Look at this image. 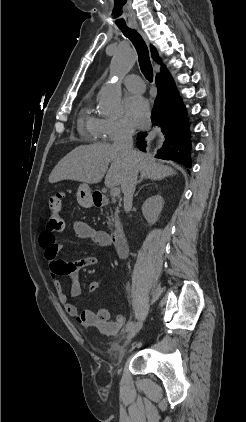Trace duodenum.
I'll list each match as a JSON object with an SVG mask.
<instances>
[{
  "instance_id": "410a0bca",
  "label": "duodenum",
  "mask_w": 246,
  "mask_h": 422,
  "mask_svg": "<svg viewBox=\"0 0 246 422\" xmlns=\"http://www.w3.org/2000/svg\"><path fill=\"white\" fill-rule=\"evenodd\" d=\"M94 203L97 207L108 203L107 199L97 196L94 198ZM111 242L119 257H125L128 252V243L124 232L121 229H115L110 235Z\"/></svg>"
}]
</instances>
